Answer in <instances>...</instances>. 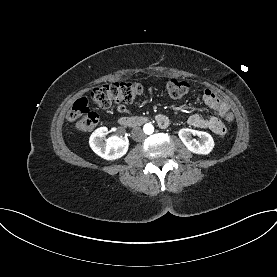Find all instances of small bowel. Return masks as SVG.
I'll return each instance as SVG.
<instances>
[{
    "instance_id": "obj_1",
    "label": "small bowel",
    "mask_w": 277,
    "mask_h": 277,
    "mask_svg": "<svg viewBox=\"0 0 277 277\" xmlns=\"http://www.w3.org/2000/svg\"><path fill=\"white\" fill-rule=\"evenodd\" d=\"M202 99L204 103L216 113L217 116L205 118L198 114H193L189 117L188 123L193 127L208 129L217 135H224L226 133V127L222 119L225 113L230 112L227 103L208 89L203 92ZM117 111L119 113L128 112L126 106L123 104L117 106ZM158 121L162 126H166L168 124V119L163 114L158 116Z\"/></svg>"
}]
</instances>
